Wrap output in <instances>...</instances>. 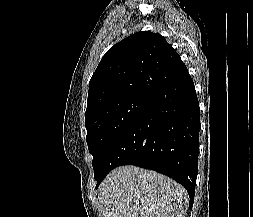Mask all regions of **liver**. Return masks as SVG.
I'll return each instance as SVG.
<instances>
[{
    "label": "liver",
    "mask_w": 253,
    "mask_h": 217,
    "mask_svg": "<svg viewBox=\"0 0 253 217\" xmlns=\"http://www.w3.org/2000/svg\"><path fill=\"white\" fill-rule=\"evenodd\" d=\"M98 199L101 217H184L188 193L167 176L129 165L106 177Z\"/></svg>",
    "instance_id": "6515ba94"
}]
</instances>
